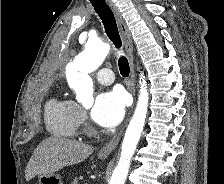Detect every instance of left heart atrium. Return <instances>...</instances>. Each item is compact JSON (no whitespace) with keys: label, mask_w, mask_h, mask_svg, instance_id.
Listing matches in <instances>:
<instances>
[{"label":"left heart atrium","mask_w":224,"mask_h":184,"mask_svg":"<svg viewBox=\"0 0 224 184\" xmlns=\"http://www.w3.org/2000/svg\"><path fill=\"white\" fill-rule=\"evenodd\" d=\"M125 108L126 98L121 91L115 89L103 92L95 99L91 117L98 125L112 128L122 120Z\"/></svg>","instance_id":"obj_1"}]
</instances>
